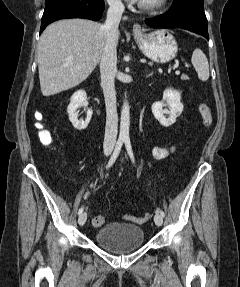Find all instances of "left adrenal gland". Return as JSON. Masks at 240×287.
<instances>
[{
	"label": "left adrenal gland",
	"mask_w": 240,
	"mask_h": 287,
	"mask_svg": "<svg viewBox=\"0 0 240 287\" xmlns=\"http://www.w3.org/2000/svg\"><path fill=\"white\" fill-rule=\"evenodd\" d=\"M150 75H152V73H151V74H149V75H147V77H149Z\"/></svg>",
	"instance_id": "1"
}]
</instances>
